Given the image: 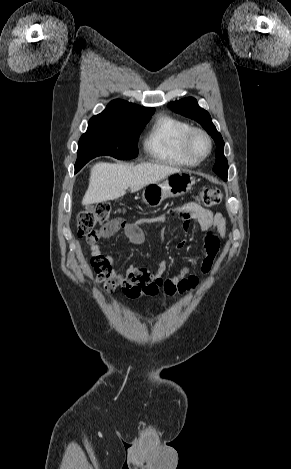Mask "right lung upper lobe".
Here are the masks:
<instances>
[{"label":"right lung upper lobe","instance_id":"cb5924a9","mask_svg":"<svg viewBox=\"0 0 291 469\" xmlns=\"http://www.w3.org/2000/svg\"><path fill=\"white\" fill-rule=\"evenodd\" d=\"M154 108H146L121 99L111 101L106 109L92 117L97 119L130 120L142 119L153 114Z\"/></svg>","mask_w":291,"mask_h":469}]
</instances>
